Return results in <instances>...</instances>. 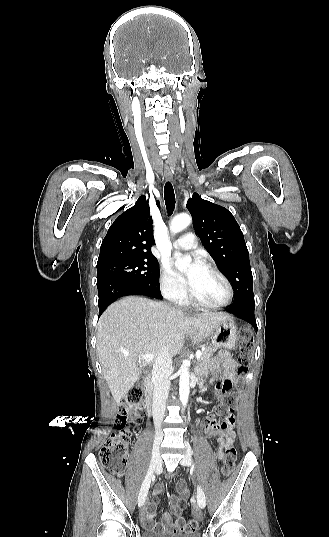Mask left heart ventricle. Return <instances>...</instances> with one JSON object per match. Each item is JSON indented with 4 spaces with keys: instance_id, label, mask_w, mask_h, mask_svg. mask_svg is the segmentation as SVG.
Wrapping results in <instances>:
<instances>
[{
    "instance_id": "1",
    "label": "left heart ventricle",
    "mask_w": 329,
    "mask_h": 537,
    "mask_svg": "<svg viewBox=\"0 0 329 537\" xmlns=\"http://www.w3.org/2000/svg\"><path fill=\"white\" fill-rule=\"evenodd\" d=\"M191 291L197 298L210 303H220L227 297V290L223 281L215 273L204 267Z\"/></svg>"
}]
</instances>
